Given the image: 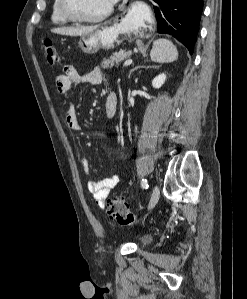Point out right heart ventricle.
<instances>
[{
	"label": "right heart ventricle",
	"mask_w": 247,
	"mask_h": 299,
	"mask_svg": "<svg viewBox=\"0 0 247 299\" xmlns=\"http://www.w3.org/2000/svg\"><path fill=\"white\" fill-rule=\"evenodd\" d=\"M51 21L56 25H65L69 22L61 13L59 8V0H53L51 10Z\"/></svg>",
	"instance_id": "obj_1"
}]
</instances>
